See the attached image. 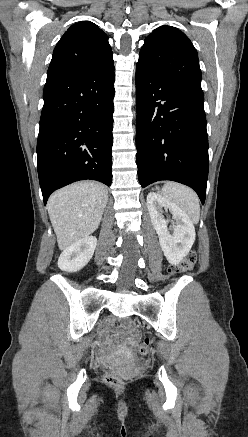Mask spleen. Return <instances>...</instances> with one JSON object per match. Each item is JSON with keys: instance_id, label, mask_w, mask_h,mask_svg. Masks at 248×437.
I'll use <instances>...</instances> for the list:
<instances>
[{"instance_id": "obj_1", "label": "spleen", "mask_w": 248, "mask_h": 437, "mask_svg": "<svg viewBox=\"0 0 248 437\" xmlns=\"http://www.w3.org/2000/svg\"><path fill=\"white\" fill-rule=\"evenodd\" d=\"M162 194L167 200L183 210L192 222H199V198L191 188L175 182H167L162 188Z\"/></svg>"}]
</instances>
